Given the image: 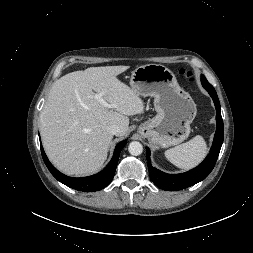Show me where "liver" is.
Instances as JSON below:
<instances>
[{
    "instance_id": "liver-1",
    "label": "liver",
    "mask_w": 253,
    "mask_h": 253,
    "mask_svg": "<svg viewBox=\"0 0 253 253\" xmlns=\"http://www.w3.org/2000/svg\"><path fill=\"white\" fill-rule=\"evenodd\" d=\"M129 66L90 67L56 80L40 114V133L49 160L67 175L98 171L107 158L112 134L107 128L118 125V137L127 133L128 116L144 111V102L117 75ZM101 94L108 108L95 99Z\"/></svg>"
}]
</instances>
